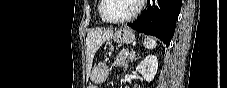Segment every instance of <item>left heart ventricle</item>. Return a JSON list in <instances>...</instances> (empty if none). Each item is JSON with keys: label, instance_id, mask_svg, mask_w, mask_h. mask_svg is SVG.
Wrapping results in <instances>:
<instances>
[{"label": "left heart ventricle", "instance_id": "b2bd125f", "mask_svg": "<svg viewBox=\"0 0 227 88\" xmlns=\"http://www.w3.org/2000/svg\"><path fill=\"white\" fill-rule=\"evenodd\" d=\"M136 4V0H106L103 14L107 19H121L131 14Z\"/></svg>", "mask_w": 227, "mask_h": 88}]
</instances>
